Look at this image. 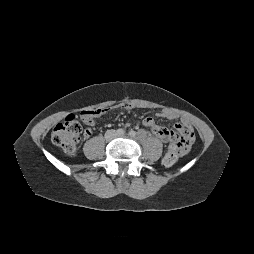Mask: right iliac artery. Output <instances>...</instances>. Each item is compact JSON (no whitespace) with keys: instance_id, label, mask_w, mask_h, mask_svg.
<instances>
[{"instance_id":"1","label":"right iliac artery","mask_w":254,"mask_h":254,"mask_svg":"<svg viewBox=\"0 0 254 254\" xmlns=\"http://www.w3.org/2000/svg\"><path fill=\"white\" fill-rule=\"evenodd\" d=\"M116 132L118 135H123L125 131L123 129H118Z\"/></svg>"}]
</instances>
